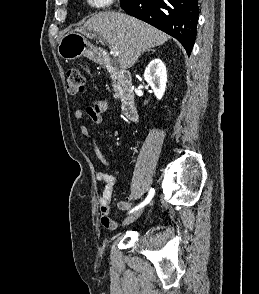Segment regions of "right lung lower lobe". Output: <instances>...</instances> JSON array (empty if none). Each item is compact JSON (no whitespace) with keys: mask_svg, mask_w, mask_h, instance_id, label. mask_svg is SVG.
<instances>
[{"mask_svg":"<svg viewBox=\"0 0 259 294\" xmlns=\"http://www.w3.org/2000/svg\"><path fill=\"white\" fill-rule=\"evenodd\" d=\"M121 8L176 38L190 55L199 16L198 0H120Z\"/></svg>","mask_w":259,"mask_h":294,"instance_id":"98d812e1","label":"right lung lower lobe"}]
</instances>
